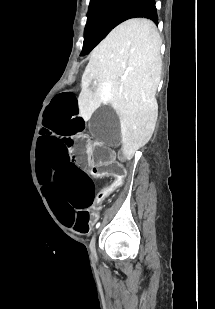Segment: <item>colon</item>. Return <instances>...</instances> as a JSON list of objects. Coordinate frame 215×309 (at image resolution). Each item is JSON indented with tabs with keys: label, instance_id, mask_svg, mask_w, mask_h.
Listing matches in <instances>:
<instances>
[{
	"label": "colon",
	"instance_id": "colon-1",
	"mask_svg": "<svg viewBox=\"0 0 215 309\" xmlns=\"http://www.w3.org/2000/svg\"><path fill=\"white\" fill-rule=\"evenodd\" d=\"M101 156L93 155L91 157L92 164L96 165V170L100 173L110 174L113 176L111 183L104 187L98 194L97 198L99 200L106 198L113 191L120 188L123 185L124 178L126 175L125 169L114 161H111L109 158L104 160L100 159Z\"/></svg>",
	"mask_w": 215,
	"mask_h": 309
}]
</instances>
